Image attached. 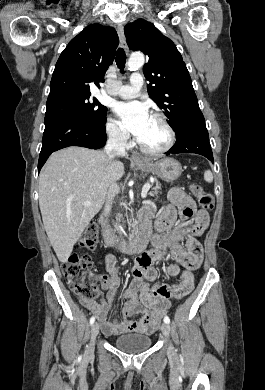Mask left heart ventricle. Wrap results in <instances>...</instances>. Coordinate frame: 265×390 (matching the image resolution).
Returning a JSON list of instances; mask_svg holds the SVG:
<instances>
[{"label":"left heart ventricle","instance_id":"b2bd125f","mask_svg":"<svg viewBox=\"0 0 265 390\" xmlns=\"http://www.w3.org/2000/svg\"><path fill=\"white\" fill-rule=\"evenodd\" d=\"M138 139L144 146L158 149L165 145L168 135L162 124L150 117L143 134Z\"/></svg>","mask_w":265,"mask_h":390}]
</instances>
